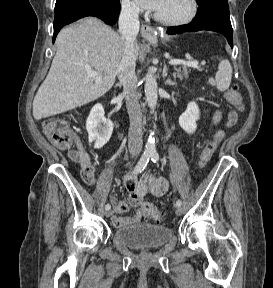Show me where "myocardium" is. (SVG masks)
Wrapping results in <instances>:
<instances>
[{"label":"myocardium","mask_w":273,"mask_h":288,"mask_svg":"<svg viewBox=\"0 0 273 288\" xmlns=\"http://www.w3.org/2000/svg\"><path fill=\"white\" fill-rule=\"evenodd\" d=\"M190 2H191V10L186 16H184L182 18L166 19V18H163L160 15H158L156 12L154 13V18L159 23H161L163 25H167V26H180V25L187 24L194 19V17L196 16V14L198 12V1L197 0H190Z\"/></svg>","instance_id":"obj_1"}]
</instances>
